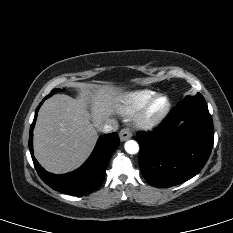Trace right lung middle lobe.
I'll use <instances>...</instances> for the list:
<instances>
[{
  "mask_svg": "<svg viewBox=\"0 0 233 233\" xmlns=\"http://www.w3.org/2000/svg\"><path fill=\"white\" fill-rule=\"evenodd\" d=\"M63 90H64V89H63ZM58 91H60V89H53V90L51 91V93H50L48 96H46V97L48 98V97L52 96L55 92H58Z\"/></svg>",
  "mask_w": 233,
  "mask_h": 233,
  "instance_id": "dd1d6c3e",
  "label": "right lung middle lobe"
}]
</instances>
